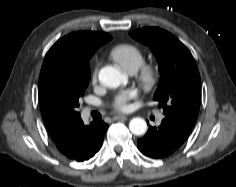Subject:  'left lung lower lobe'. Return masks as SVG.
Segmentation results:
<instances>
[{
    "mask_svg": "<svg viewBox=\"0 0 236 187\" xmlns=\"http://www.w3.org/2000/svg\"><path fill=\"white\" fill-rule=\"evenodd\" d=\"M191 129L170 118H164L161 125L149 127L145 136L138 140V149L154 159L169 156L175 152L187 139Z\"/></svg>",
    "mask_w": 236,
    "mask_h": 187,
    "instance_id": "0a47b994",
    "label": "left lung lower lobe"
}]
</instances>
